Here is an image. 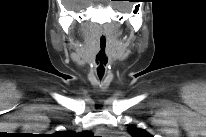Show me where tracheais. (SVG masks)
I'll return each mask as SVG.
<instances>
[{
  "mask_svg": "<svg viewBox=\"0 0 206 137\" xmlns=\"http://www.w3.org/2000/svg\"><path fill=\"white\" fill-rule=\"evenodd\" d=\"M101 49H102L103 51H104V49H105V46H103L102 43H101ZM103 51H102V52H103Z\"/></svg>",
  "mask_w": 206,
  "mask_h": 137,
  "instance_id": "3493384b",
  "label": "trachea"
}]
</instances>
